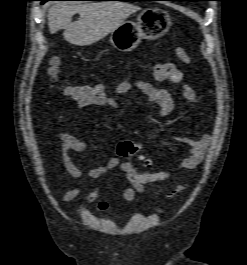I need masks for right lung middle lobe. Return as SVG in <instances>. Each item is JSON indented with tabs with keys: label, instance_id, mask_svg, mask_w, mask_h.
<instances>
[{
	"label": "right lung middle lobe",
	"instance_id": "right-lung-middle-lobe-1",
	"mask_svg": "<svg viewBox=\"0 0 247 265\" xmlns=\"http://www.w3.org/2000/svg\"><path fill=\"white\" fill-rule=\"evenodd\" d=\"M42 1V3H45L46 1H49V0H40ZM95 1H107V0H95Z\"/></svg>",
	"mask_w": 247,
	"mask_h": 265
}]
</instances>
